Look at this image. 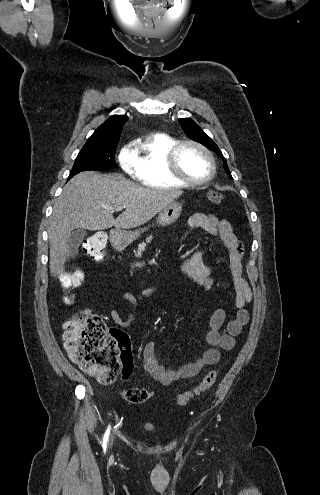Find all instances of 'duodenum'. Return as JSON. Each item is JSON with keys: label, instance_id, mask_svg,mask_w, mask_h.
Returning a JSON list of instances; mask_svg holds the SVG:
<instances>
[{"label": "duodenum", "instance_id": "duodenum-1", "mask_svg": "<svg viewBox=\"0 0 320 495\" xmlns=\"http://www.w3.org/2000/svg\"><path fill=\"white\" fill-rule=\"evenodd\" d=\"M112 239H113V241H114L115 245H116L118 248H122V247H123L122 241H121V239L119 238V236H117V235H113V236H112Z\"/></svg>", "mask_w": 320, "mask_h": 495}]
</instances>
